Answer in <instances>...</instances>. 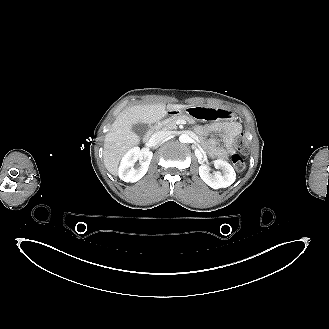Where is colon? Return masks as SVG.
I'll list each match as a JSON object with an SVG mask.
<instances>
[{"mask_svg":"<svg viewBox=\"0 0 329 329\" xmlns=\"http://www.w3.org/2000/svg\"><path fill=\"white\" fill-rule=\"evenodd\" d=\"M235 145L239 151L244 152L247 149L248 143L247 139L244 135L237 136L235 140ZM233 165L237 171H242L245 168V162L243 161L242 157L239 155L233 156Z\"/></svg>","mask_w":329,"mask_h":329,"instance_id":"5ec220e1","label":"colon"}]
</instances>
